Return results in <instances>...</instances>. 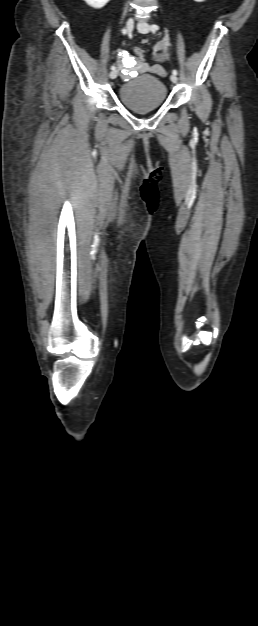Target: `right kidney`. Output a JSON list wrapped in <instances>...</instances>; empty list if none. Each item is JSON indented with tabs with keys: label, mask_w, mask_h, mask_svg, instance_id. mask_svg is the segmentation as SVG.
<instances>
[{
	"label": "right kidney",
	"mask_w": 258,
	"mask_h": 626,
	"mask_svg": "<svg viewBox=\"0 0 258 626\" xmlns=\"http://www.w3.org/2000/svg\"><path fill=\"white\" fill-rule=\"evenodd\" d=\"M89 6L100 9L104 7L110 0H84Z\"/></svg>",
	"instance_id": "ca27d5eb"
}]
</instances>
